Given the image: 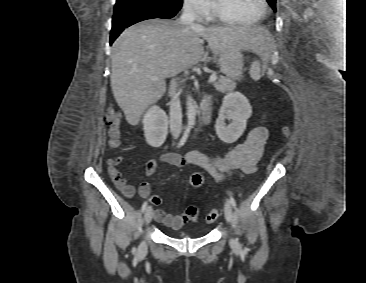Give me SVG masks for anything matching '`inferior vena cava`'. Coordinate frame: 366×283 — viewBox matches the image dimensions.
<instances>
[{
    "mask_svg": "<svg viewBox=\"0 0 366 283\" xmlns=\"http://www.w3.org/2000/svg\"><path fill=\"white\" fill-rule=\"evenodd\" d=\"M196 18L193 6L190 3H185L183 7V13L179 19V22L184 26H195L194 20ZM172 99L170 104V131L173 136H179L182 127V109L179 99V94L174 91L171 92Z\"/></svg>",
    "mask_w": 366,
    "mask_h": 283,
    "instance_id": "inferior-vena-cava-1",
    "label": "inferior vena cava"
}]
</instances>
